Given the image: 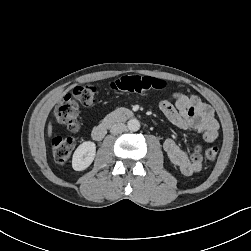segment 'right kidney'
<instances>
[{"label":"right kidney","mask_w":251,"mask_h":251,"mask_svg":"<svg viewBox=\"0 0 251 251\" xmlns=\"http://www.w3.org/2000/svg\"><path fill=\"white\" fill-rule=\"evenodd\" d=\"M96 155V145L94 142L86 141L77 147L72 158V167L76 171L88 168Z\"/></svg>","instance_id":"ca27d5eb"}]
</instances>
